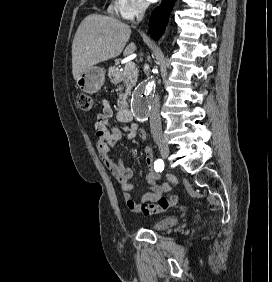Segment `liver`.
Here are the masks:
<instances>
[{
	"label": "liver",
	"mask_w": 272,
	"mask_h": 282,
	"mask_svg": "<svg viewBox=\"0 0 272 282\" xmlns=\"http://www.w3.org/2000/svg\"><path fill=\"white\" fill-rule=\"evenodd\" d=\"M130 35V26L114 17L100 14L85 17L72 44L74 79L77 80L94 65L119 56L123 50L124 56L135 52L136 45L133 42L126 46Z\"/></svg>",
	"instance_id": "obj_1"
}]
</instances>
